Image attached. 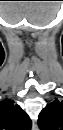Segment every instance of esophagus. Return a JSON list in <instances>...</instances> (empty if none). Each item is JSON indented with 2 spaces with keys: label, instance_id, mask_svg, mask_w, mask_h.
Wrapping results in <instances>:
<instances>
[{
  "label": "esophagus",
  "instance_id": "1",
  "mask_svg": "<svg viewBox=\"0 0 63 130\" xmlns=\"http://www.w3.org/2000/svg\"><path fill=\"white\" fill-rule=\"evenodd\" d=\"M38 129V126L35 122H33L32 124V130H37Z\"/></svg>",
  "mask_w": 63,
  "mask_h": 130
}]
</instances>
